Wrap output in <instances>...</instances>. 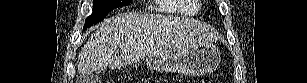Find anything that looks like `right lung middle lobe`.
I'll use <instances>...</instances> for the list:
<instances>
[{"label": "right lung middle lobe", "mask_w": 307, "mask_h": 83, "mask_svg": "<svg viewBox=\"0 0 307 83\" xmlns=\"http://www.w3.org/2000/svg\"><path fill=\"white\" fill-rule=\"evenodd\" d=\"M131 0H93V13L87 17L83 30L101 21L113 9L128 5Z\"/></svg>", "instance_id": "1"}]
</instances>
